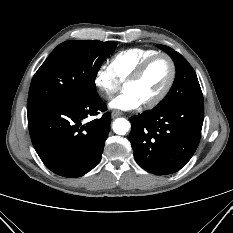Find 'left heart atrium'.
Instances as JSON below:
<instances>
[{"label": "left heart atrium", "mask_w": 233, "mask_h": 233, "mask_svg": "<svg viewBox=\"0 0 233 233\" xmlns=\"http://www.w3.org/2000/svg\"><path fill=\"white\" fill-rule=\"evenodd\" d=\"M141 104V101L134 93L125 90L120 95L116 96L110 102L109 106L113 109L129 111L137 109Z\"/></svg>", "instance_id": "obj_1"}]
</instances>
